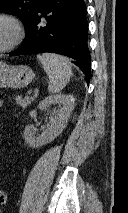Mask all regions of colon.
Returning a JSON list of instances; mask_svg holds the SVG:
<instances>
[{
  "label": "colon",
  "mask_w": 128,
  "mask_h": 213,
  "mask_svg": "<svg viewBox=\"0 0 128 213\" xmlns=\"http://www.w3.org/2000/svg\"><path fill=\"white\" fill-rule=\"evenodd\" d=\"M7 200L6 192L0 187V205L5 204Z\"/></svg>",
  "instance_id": "obj_1"
}]
</instances>
